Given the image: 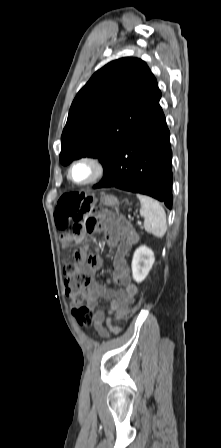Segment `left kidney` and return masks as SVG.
<instances>
[{
  "label": "left kidney",
  "mask_w": 221,
  "mask_h": 448,
  "mask_svg": "<svg viewBox=\"0 0 221 448\" xmlns=\"http://www.w3.org/2000/svg\"><path fill=\"white\" fill-rule=\"evenodd\" d=\"M155 261L154 253L146 246H140L132 259V275L136 282H142L148 275Z\"/></svg>",
  "instance_id": "left-kidney-1"
}]
</instances>
